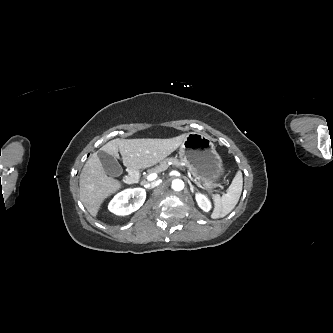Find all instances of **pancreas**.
Segmentation results:
<instances>
[{
  "label": "pancreas",
  "instance_id": "pancreas-1",
  "mask_svg": "<svg viewBox=\"0 0 333 333\" xmlns=\"http://www.w3.org/2000/svg\"><path fill=\"white\" fill-rule=\"evenodd\" d=\"M169 163H171L172 165L176 166V167H180L181 166V161L176 159V158H167V159H164L160 162L159 165L155 166L154 168H151L149 169L147 172L148 174H151V173H158V172H162L164 171L165 169L168 168L169 166ZM194 177H195V180H200L203 182V184L208 187V188H212L214 187V183L210 180H202L198 175H196L195 173L193 174Z\"/></svg>",
  "mask_w": 333,
  "mask_h": 333
}]
</instances>
